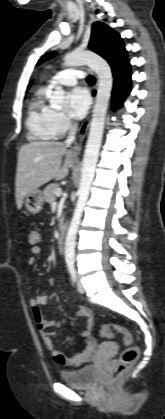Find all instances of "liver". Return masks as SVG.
I'll return each instance as SVG.
<instances>
[{"instance_id":"1","label":"liver","mask_w":165,"mask_h":419,"mask_svg":"<svg viewBox=\"0 0 165 419\" xmlns=\"http://www.w3.org/2000/svg\"><path fill=\"white\" fill-rule=\"evenodd\" d=\"M73 164L72 152L64 143L36 141L23 145L18 153L15 181L17 208L21 209L25 196L40 186L52 179L66 178Z\"/></svg>"}]
</instances>
